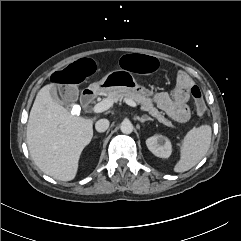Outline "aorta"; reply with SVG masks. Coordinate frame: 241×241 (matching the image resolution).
Instances as JSON below:
<instances>
[{
	"label": "aorta",
	"mask_w": 241,
	"mask_h": 241,
	"mask_svg": "<svg viewBox=\"0 0 241 241\" xmlns=\"http://www.w3.org/2000/svg\"><path fill=\"white\" fill-rule=\"evenodd\" d=\"M121 132L124 134H130L133 131V125L129 120H124L120 125Z\"/></svg>",
	"instance_id": "762f6f07"
}]
</instances>
